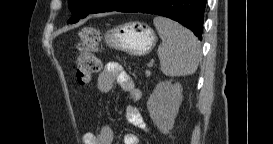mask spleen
<instances>
[{"instance_id": "spleen-1", "label": "spleen", "mask_w": 273, "mask_h": 144, "mask_svg": "<svg viewBox=\"0 0 273 144\" xmlns=\"http://www.w3.org/2000/svg\"><path fill=\"white\" fill-rule=\"evenodd\" d=\"M153 23L162 40L157 53L163 74L170 77L193 74L200 59L199 43L194 34L165 17L157 16Z\"/></svg>"}]
</instances>
